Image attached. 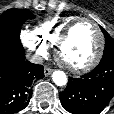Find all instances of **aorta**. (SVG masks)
I'll list each match as a JSON object with an SVG mask.
<instances>
[{
	"mask_svg": "<svg viewBox=\"0 0 114 114\" xmlns=\"http://www.w3.org/2000/svg\"><path fill=\"white\" fill-rule=\"evenodd\" d=\"M52 80L57 86H64L67 84V76L63 71L60 70L53 72Z\"/></svg>",
	"mask_w": 114,
	"mask_h": 114,
	"instance_id": "obj_1",
	"label": "aorta"
}]
</instances>
